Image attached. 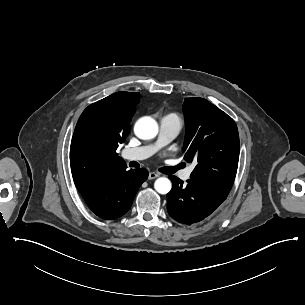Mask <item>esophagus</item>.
<instances>
[{
    "instance_id": "esophagus-1",
    "label": "esophagus",
    "mask_w": 305,
    "mask_h": 305,
    "mask_svg": "<svg viewBox=\"0 0 305 305\" xmlns=\"http://www.w3.org/2000/svg\"><path fill=\"white\" fill-rule=\"evenodd\" d=\"M157 177H159V175H158L157 173H155V172H150V173H149L148 179H149V180H152V179H155V178H157Z\"/></svg>"
}]
</instances>
